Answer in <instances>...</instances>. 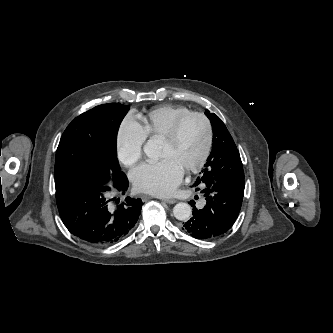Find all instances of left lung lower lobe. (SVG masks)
Returning a JSON list of instances; mask_svg holds the SVG:
<instances>
[{"label": "left lung lower lobe", "mask_w": 333, "mask_h": 333, "mask_svg": "<svg viewBox=\"0 0 333 333\" xmlns=\"http://www.w3.org/2000/svg\"><path fill=\"white\" fill-rule=\"evenodd\" d=\"M193 186L202 187L206 205L197 208L191 201L193 217L184 224L183 230L196 239H213L227 232L240 212L244 180L219 182L198 177Z\"/></svg>", "instance_id": "obj_1"}]
</instances>
